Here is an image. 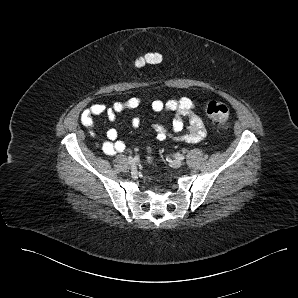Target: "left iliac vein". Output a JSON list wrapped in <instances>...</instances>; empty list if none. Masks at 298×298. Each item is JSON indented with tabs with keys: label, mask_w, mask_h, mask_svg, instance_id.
Masks as SVG:
<instances>
[{
	"label": "left iliac vein",
	"mask_w": 298,
	"mask_h": 298,
	"mask_svg": "<svg viewBox=\"0 0 298 298\" xmlns=\"http://www.w3.org/2000/svg\"><path fill=\"white\" fill-rule=\"evenodd\" d=\"M170 166L174 167V168H179L182 166V163L180 160L178 159H174V160H170L169 161Z\"/></svg>",
	"instance_id": "obj_1"
}]
</instances>
